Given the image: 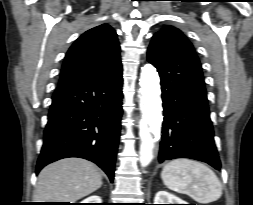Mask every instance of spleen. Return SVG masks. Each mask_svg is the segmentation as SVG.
<instances>
[{
  "label": "spleen",
  "mask_w": 253,
  "mask_h": 205,
  "mask_svg": "<svg viewBox=\"0 0 253 205\" xmlns=\"http://www.w3.org/2000/svg\"><path fill=\"white\" fill-rule=\"evenodd\" d=\"M161 178L170 190L187 194L201 204L216 201L222 195L221 182L206 165L189 159L168 162Z\"/></svg>",
  "instance_id": "spleen-1"
}]
</instances>
